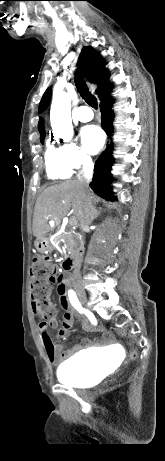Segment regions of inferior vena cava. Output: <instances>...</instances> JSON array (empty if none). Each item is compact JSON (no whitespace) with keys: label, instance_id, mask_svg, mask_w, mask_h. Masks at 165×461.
Segmentation results:
<instances>
[{"label":"inferior vena cava","instance_id":"1","mask_svg":"<svg viewBox=\"0 0 165 461\" xmlns=\"http://www.w3.org/2000/svg\"><path fill=\"white\" fill-rule=\"evenodd\" d=\"M94 164L90 156L85 155L83 159V171L78 175V181L85 194V207L84 214L80 220L81 229H85L94 219V208L91 203V194L89 190V183L92 179ZM80 275L79 264L75 265L73 277L76 279Z\"/></svg>","mask_w":165,"mask_h":461}]
</instances>
